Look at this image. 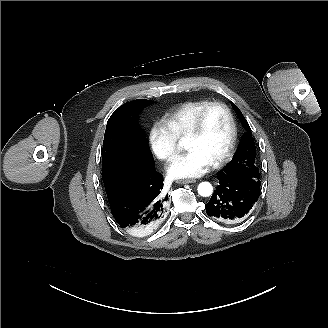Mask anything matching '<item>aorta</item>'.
I'll use <instances>...</instances> for the list:
<instances>
[{"instance_id": "762f6f07", "label": "aorta", "mask_w": 328, "mask_h": 328, "mask_svg": "<svg viewBox=\"0 0 328 328\" xmlns=\"http://www.w3.org/2000/svg\"><path fill=\"white\" fill-rule=\"evenodd\" d=\"M213 193V187L209 182H201L198 185V194L203 197H209Z\"/></svg>"}]
</instances>
